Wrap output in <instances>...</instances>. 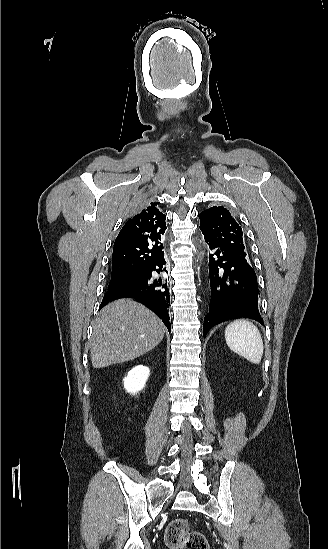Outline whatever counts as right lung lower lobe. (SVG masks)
<instances>
[{"mask_svg":"<svg viewBox=\"0 0 328 549\" xmlns=\"http://www.w3.org/2000/svg\"><path fill=\"white\" fill-rule=\"evenodd\" d=\"M165 263L166 261L163 253L160 258L143 271L141 278L122 283L113 288H108L100 308L109 301L118 298H135L138 302L144 304L156 313L170 332L171 324L167 311L170 304V294L167 280L163 278L164 272H167L164 267Z\"/></svg>","mask_w":328,"mask_h":549,"instance_id":"obj_1","label":"right lung lower lobe"}]
</instances>
